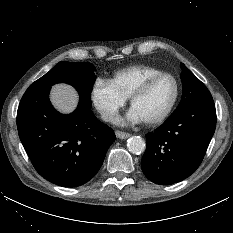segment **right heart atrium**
I'll return each mask as SVG.
<instances>
[{
	"label": "right heart atrium",
	"instance_id": "right-heart-atrium-1",
	"mask_svg": "<svg viewBox=\"0 0 233 233\" xmlns=\"http://www.w3.org/2000/svg\"><path fill=\"white\" fill-rule=\"evenodd\" d=\"M91 100L101 117L115 122L126 98L115 88L111 80L97 78L91 89Z\"/></svg>",
	"mask_w": 233,
	"mask_h": 233
}]
</instances>
